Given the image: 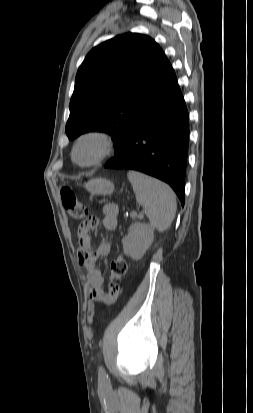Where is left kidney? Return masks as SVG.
Returning <instances> with one entry per match:
<instances>
[{
	"mask_svg": "<svg viewBox=\"0 0 253 413\" xmlns=\"http://www.w3.org/2000/svg\"><path fill=\"white\" fill-rule=\"evenodd\" d=\"M154 239V228L140 222L129 227L128 235L122 239L123 251L133 260L141 259Z\"/></svg>",
	"mask_w": 253,
	"mask_h": 413,
	"instance_id": "obj_1",
	"label": "left kidney"
}]
</instances>
